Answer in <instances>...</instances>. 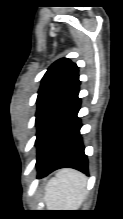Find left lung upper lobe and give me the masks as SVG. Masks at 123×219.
Listing matches in <instances>:
<instances>
[{
    "label": "left lung upper lobe",
    "instance_id": "left-lung-upper-lobe-1",
    "mask_svg": "<svg viewBox=\"0 0 123 219\" xmlns=\"http://www.w3.org/2000/svg\"><path fill=\"white\" fill-rule=\"evenodd\" d=\"M79 85L78 67L69 59H59L48 68L37 97V138L51 115Z\"/></svg>",
    "mask_w": 123,
    "mask_h": 219
}]
</instances>
